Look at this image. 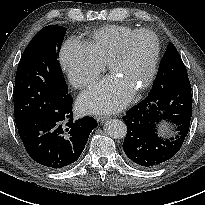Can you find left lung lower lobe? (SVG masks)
<instances>
[{
    "label": "left lung lower lobe",
    "instance_id": "0a47b994",
    "mask_svg": "<svg viewBox=\"0 0 205 205\" xmlns=\"http://www.w3.org/2000/svg\"><path fill=\"white\" fill-rule=\"evenodd\" d=\"M192 117L191 85L188 77L177 78L151 89L148 96L123 117L127 134L123 150L132 164L154 168L172 158L181 148ZM170 121L180 131L175 138L163 139L157 125Z\"/></svg>",
    "mask_w": 205,
    "mask_h": 205
}]
</instances>
